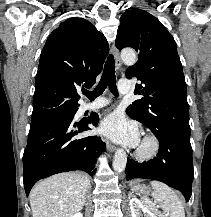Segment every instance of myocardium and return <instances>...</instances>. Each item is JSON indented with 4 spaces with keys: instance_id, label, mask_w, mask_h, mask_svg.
Wrapping results in <instances>:
<instances>
[{
    "instance_id": "f54148a6",
    "label": "myocardium",
    "mask_w": 211,
    "mask_h": 217,
    "mask_svg": "<svg viewBox=\"0 0 211 217\" xmlns=\"http://www.w3.org/2000/svg\"><path fill=\"white\" fill-rule=\"evenodd\" d=\"M159 150L160 142L158 138L155 135L148 133L143 137L135 155L140 160L147 161L156 157Z\"/></svg>"
}]
</instances>
